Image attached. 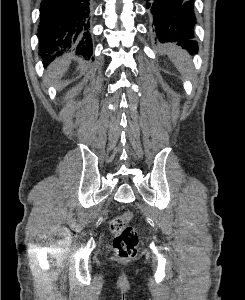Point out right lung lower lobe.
<instances>
[{"instance_id":"right-lung-lower-lobe-1","label":"right lung lower lobe","mask_w":245,"mask_h":300,"mask_svg":"<svg viewBox=\"0 0 245 300\" xmlns=\"http://www.w3.org/2000/svg\"><path fill=\"white\" fill-rule=\"evenodd\" d=\"M40 17L38 37L45 65L68 51L91 56L90 0H42Z\"/></svg>"}]
</instances>
